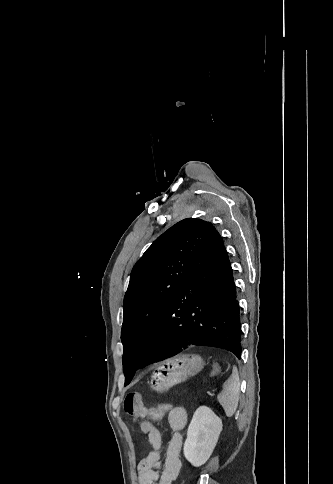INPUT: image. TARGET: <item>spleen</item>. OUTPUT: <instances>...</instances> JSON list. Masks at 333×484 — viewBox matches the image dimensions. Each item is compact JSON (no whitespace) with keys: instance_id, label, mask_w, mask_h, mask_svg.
<instances>
[{"instance_id":"1","label":"spleen","mask_w":333,"mask_h":484,"mask_svg":"<svg viewBox=\"0 0 333 484\" xmlns=\"http://www.w3.org/2000/svg\"><path fill=\"white\" fill-rule=\"evenodd\" d=\"M239 395V375L237 368L234 367L231 377L224 383L222 392L217 396V400L223 407L227 417L234 415L238 406Z\"/></svg>"}]
</instances>
